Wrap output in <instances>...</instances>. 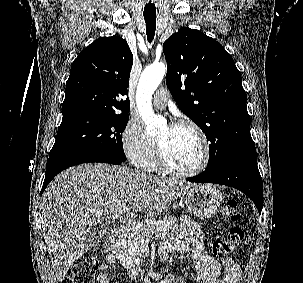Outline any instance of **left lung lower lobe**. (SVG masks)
I'll use <instances>...</instances> for the list:
<instances>
[{"mask_svg":"<svg viewBox=\"0 0 303 283\" xmlns=\"http://www.w3.org/2000/svg\"><path fill=\"white\" fill-rule=\"evenodd\" d=\"M196 183H215L234 187L256 205L259 214L263 206V184L257 166L255 150L237 154L213 168H206L201 174L186 179Z\"/></svg>","mask_w":303,"mask_h":283,"instance_id":"obj_1","label":"left lung lower lobe"}]
</instances>
